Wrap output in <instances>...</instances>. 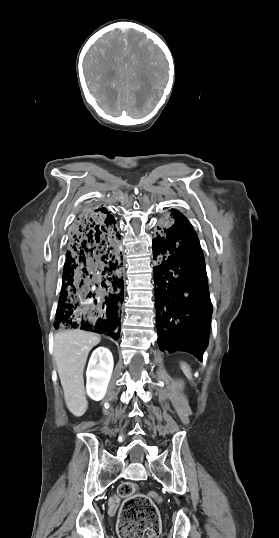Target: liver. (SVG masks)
<instances>
[{
  "label": "liver",
  "instance_id": "6515ba94",
  "mask_svg": "<svg viewBox=\"0 0 279 538\" xmlns=\"http://www.w3.org/2000/svg\"><path fill=\"white\" fill-rule=\"evenodd\" d=\"M99 342L98 334L83 330H62L54 336V358L66 406L73 416L86 412L84 366L90 350Z\"/></svg>",
  "mask_w": 279,
  "mask_h": 538
}]
</instances>
